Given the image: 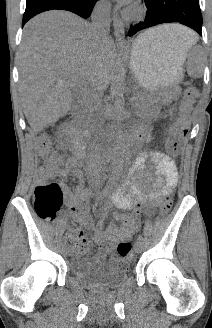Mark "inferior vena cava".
Listing matches in <instances>:
<instances>
[{
	"label": "inferior vena cava",
	"mask_w": 212,
	"mask_h": 328,
	"mask_svg": "<svg viewBox=\"0 0 212 328\" xmlns=\"http://www.w3.org/2000/svg\"><path fill=\"white\" fill-rule=\"evenodd\" d=\"M92 27L99 36H107L109 30L110 7L105 3L98 4L91 15ZM104 96V86L98 78H92L86 92L84 93V115L90 125L97 128L102 121V102ZM96 143H91V148L95 147ZM95 152L91 151L88 158H92ZM93 169L90 170L91 179H98L100 174V166L96 160L90 162Z\"/></svg>",
	"instance_id": "inferior-vena-cava-1"
}]
</instances>
